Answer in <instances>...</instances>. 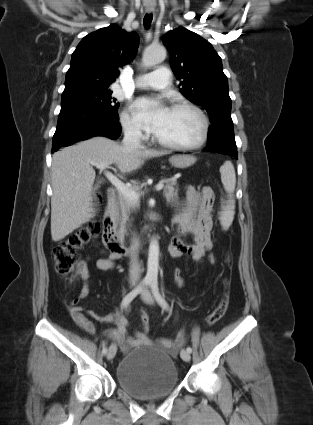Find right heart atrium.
Wrapping results in <instances>:
<instances>
[{"label": "right heart atrium", "instance_id": "1", "mask_svg": "<svg viewBox=\"0 0 313 425\" xmlns=\"http://www.w3.org/2000/svg\"><path fill=\"white\" fill-rule=\"evenodd\" d=\"M121 124L123 131L125 134L134 139H144V134L142 129L137 122V120L133 117L129 110H126L121 115Z\"/></svg>", "mask_w": 313, "mask_h": 425}]
</instances>
